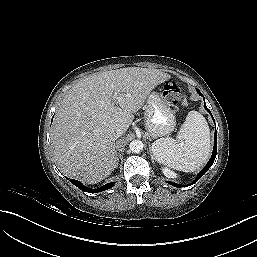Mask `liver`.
<instances>
[{
  "mask_svg": "<svg viewBox=\"0 0 257 257\" xmlns=\"http://www.w3.org/2000/svg\"><path fill=\"white\" fill-rule=\"evenodd\" d=\"M171 76L158 69L126 67L75 84L58 106L51 140L63 174L88 184L117 166L113 133L127 131L148 95Z\"/></svg>",
  "mask_w": 257,
  "mask_h": 257,
  "instance_id": "liver-1",
  "label": "liver"
}]
</instances>
